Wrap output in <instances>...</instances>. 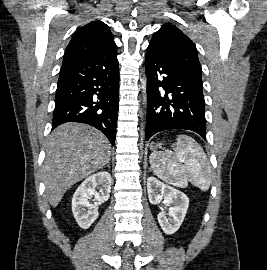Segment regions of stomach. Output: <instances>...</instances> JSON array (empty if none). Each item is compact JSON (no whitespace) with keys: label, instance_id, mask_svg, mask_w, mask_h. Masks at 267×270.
Masks as SVG:
<instances>
[{"label":"stomach","instance_id":"1","mask_svg":"<svg viewBox=\"0 0 267 270\" xmlns=\"http://www.w3.org/2000/svg\"><path fill=\"white\" fill-rule=\"evenodd\" d=\"M161 143L160 144H157V145H154L153 143L150 145V148L151 149H155L156 147H161Z\"/></svg>","mask_w":267,"mask_h":270}]
</instances>
